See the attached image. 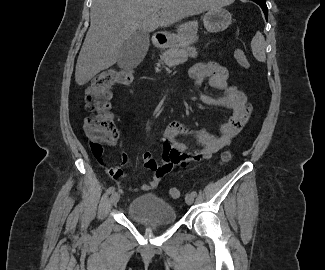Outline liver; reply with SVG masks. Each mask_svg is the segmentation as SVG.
Segmentation results:
<instances>
[{
  "label": "liver",
  "instance_id": "liver-1",
  "mask_svg": "<svg viewBox=\"0 0 325 270\" xmlns=\"http://www.w3.org/2000/svg\"><path fill=\"white\" fill-rule=\"evenodd\" d=\"M233 0H93L90 28L79 53L75 81L85 85L114 65L124 43L138 30L149 33L186 17L221 8ZM196 21L177 26L179 36L195 35Z\"/></svg>",
  "mask_w": 325,
  "mask_h": 270
}]
</instances>
